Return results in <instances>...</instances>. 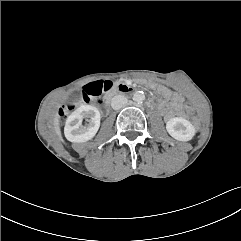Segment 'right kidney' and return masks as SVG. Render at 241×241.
Wrapping results in <instances>:
<instances>
[{"instance_id": "1", "label": "right kidney", "mask_w": 241, "mask_h": 241, "mask_svg": "<svg viewBox=\"0 0 241 241\" xmlns=\"http://www.w3.org/2000/svg\"><path fill=\"white\" fill-rule=\"evenodd\" d=\"M84 118H90L89 124L83 126ZM100 112L91 105H82L68 116L64 134L68 141L82 143L91 140L100 127Z\"/></svg>"}]
</instances>
